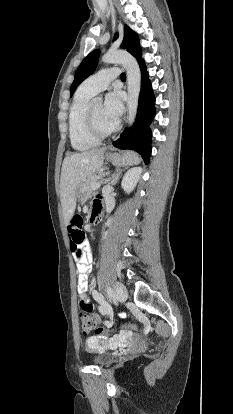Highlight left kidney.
<instances>
[{
  "label": "left kidney",
  "instance_id": "left-kidney-1",
  "mask_svg": "<svg viewBox=\"0 0 233 414\" xmlns=\"http://www.w3.org/2000/svg\"><path fill=\"white\" fill-rule=\"evenodd\" d=\"M141 173H142L141 167H133L125 173L122 179V182H121V187L126 193L129 194L134 190L141 176Z\"/></svg>",
  "mask_w": 233,
  "mask_h": 414
}]
</instances>
